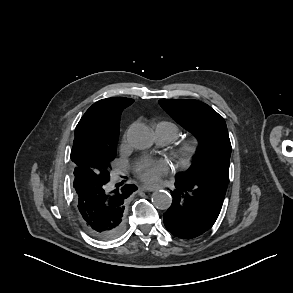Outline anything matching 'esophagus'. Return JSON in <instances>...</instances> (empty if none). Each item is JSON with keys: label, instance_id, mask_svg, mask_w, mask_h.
<instances>
[{"label": "esophagus", "instance_id": "esophagus-1", "mask_svg": "<svg viewBox=\"0 0 293 293\" xmlns=\"http://www.w3.org/2000/svg\"><path fill=\"white\" fill-rule=\"evenodd\" d=\"M157 189H158V187H156V186L142 185L139 187V190H141V191H155Z\"/></svg>", "mask_w": 293, "mask_h": 293}]
</instances>
